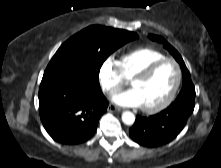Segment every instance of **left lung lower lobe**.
<instances>
[{
	"label": "left lung lower lobe",
	"instance_id": "left-lung-lower-lobe-1",
	"mask_svg": "<svg viewBox=\"0 0 221 168\" xmlns=\"http://www.w3.org/2000/svg\"><path fill=\"white\" fill-rule=\"evenodd\" d=\"M195 94H179L165 110L150 117L137 116L130 128L131 138L144 147H158L171 142L185 127L194 110Z\"/></svg>",
	"mask_w": 221,
	"mask_h": 168
}]
</instances>
